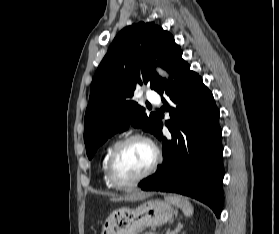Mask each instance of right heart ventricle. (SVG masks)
Wrapping results in <instances>:
<instances>
[{"mask_svg": "<svg viewBox=\"0 0 279 234\" xmlns=\"http://www.w3.org/2000/svg\"><path fill=\"white\" fill-rule=\"evenodd\" d=\"M114 145L108 147L103 155L102 161H101V170H102V175H103V181L104 184L109 187V188H113V185L109 182L108 178H107V172H106V168H107V161L109 158V155L113 149Z\"/></svg>", "mask_w": 279, "mask_h": 234, "instance_id": "obj_1", "label": "right heart ventricle"}]
</instances>
